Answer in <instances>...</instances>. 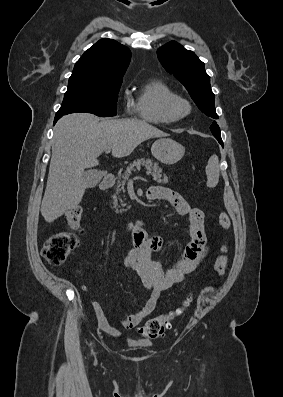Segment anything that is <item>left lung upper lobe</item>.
<instances>
[{
    "label": "left lung upper lobe",
    "mask_w": 283,
    "mask_h": 397,
    "mask_svg": "<svg viewBox=\"0 0 283 397\" xmlns=\"http://www.w3.org/2000/svg\"><path fill=\"white\" fill-rule=\"evenodd\" d=\"M157 56L165 70L185 86L198 108L207 116L217 119L210 77L205 71L204 63L195 53L171 41L157 50ZM210 130L214 136H221L216 121L212 123Z\"/></svg>",
    "instance_id": "5c2ea615"
}]
</instances>
